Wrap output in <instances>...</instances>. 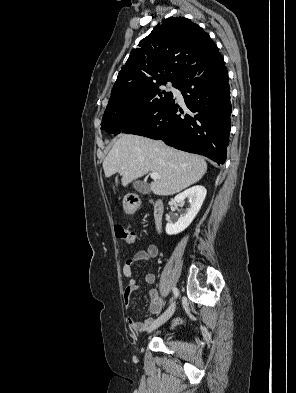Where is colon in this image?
Here are the masks:
<instances>
[{
	"label": "colon",
	"instance_id": "obj_1",
	"mask_svg": "<svg viewBox=\"0 0 296 393\" xmlns=\"http://www.w3.org/2000/svg\"><path fill=\"white\" fill-rule=\"evenodd\" d=\"M116 237L123 240L127 245H133L135 243V233L122 226L115 227Z\"/></svg>",
	"mask_w": 296,
	"mask_h": 393
}]
</instances>
